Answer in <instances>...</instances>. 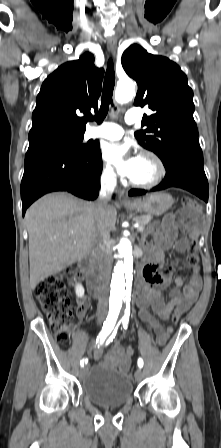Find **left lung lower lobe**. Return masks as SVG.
<instances>
[{
    "label": "left lung lower lobe",
    "instance_id": "left-lung-lower-lobe-1",
    "mask_svg": "<svg viewBox=\"0 0 221 448\" xmlns=\"http://www.w3.org/2000/svg\"><path fill=\"white\" fill-rule=\"evenodd\" d=\"M166 176L152 191L169 187H179L190 191L199 198L208 201V181L203 169V154L201 149L179 150L162 160ZM146 190L133 189L130 196L146 194Z\"/></svg>",
    "mask_w": 221,
    "mask_h": 448
}]
</instances>
